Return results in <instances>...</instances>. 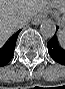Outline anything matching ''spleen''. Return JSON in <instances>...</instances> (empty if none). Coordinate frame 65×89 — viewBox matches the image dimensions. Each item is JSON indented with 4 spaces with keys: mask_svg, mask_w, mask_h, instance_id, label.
<instances>
[{
    "mask_svg": "<svg viewBox=\"0 0 65 89\" xmlns=\"http://www.w3.org/2000/svg\"><path fill=\"white\" fill-rule=\"evenodd\" d=\"M63 40H64V35H61V41L63 42Z\"/></svg>",
    "mask_w": 65,
    "mask_h": 89,
    "instance_id": "1",
    "label": "spleen"
}]
</instances>
